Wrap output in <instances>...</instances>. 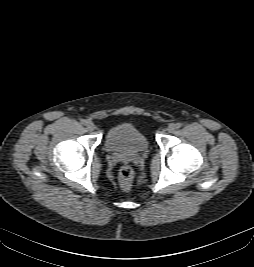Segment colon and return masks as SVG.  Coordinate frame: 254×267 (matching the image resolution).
Here are the masks:
<instances>
[{"label": "colon", "mask_w": 254, "mask_h": 267, "mask_svg": "<svg viewBox=\"0 0 254 267\" xmlns=\"http://www.w3.org/2000/svg\"><path fill=\"white\" fill-rule=\"evenodd\" d=\"M133 170L130 166L124 165L121 167L119 172V182L120 186L124 190H128L133 182Z\"/></svg>", "instance_id": "5ec220e1"}]
</instances>
